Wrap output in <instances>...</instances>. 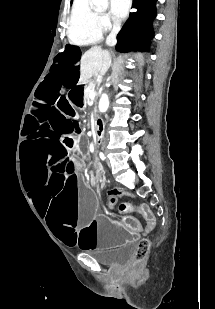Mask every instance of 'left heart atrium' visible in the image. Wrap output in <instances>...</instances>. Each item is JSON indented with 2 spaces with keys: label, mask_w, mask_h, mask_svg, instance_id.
<instances>
[{
  "label": "left heart atrium",
  "mask_w": 215,
  "mask_h": 309,
  "mask_svg": "<svg viewBox=\"0 0 215 309\" xmlns=\"http://www.w3.org/2000/svg\"><path fill=\"white\" fill-rule=\"evenodd\" d=\"M111 3V16L118 18L121 12H130V5H127L126 0H110Z\"/></svg>",
  "instance_id": "left-heart-atrium-1"
}]
</instances>
